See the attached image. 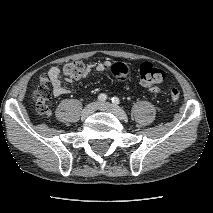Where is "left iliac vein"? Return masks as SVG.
I'll use <instances>...</instances> for the list:
<instances>
[{
  "label": "left iliac vein",
  "mask_w": 213,
  "mask_h": 213,
  "mask_svg": "<svg viewBox=\"0 0 213 213\" xmlns=\"http://www.w3.org/2000/svg\"><path fill=\"white\" fill-rule=\"evenodd\" d=\"M98 108L102 111L111 112V113L115 114L121 120L127 119V115L124 112V110L117 105H114V104H111L108 102H104V103H100L98 105Z\"/></svg>",
  "instance_id": "1"
}]
</instances>
